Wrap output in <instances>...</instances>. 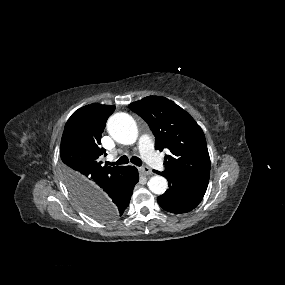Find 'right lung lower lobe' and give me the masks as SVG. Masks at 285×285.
<instances>
[{"mask_svg": "<svg viewBox=\"0 0 285 285\" xmlns=\"http://www.w3.org/2000/svg\"><path fill=\"white\" fill-rule=\"evenodd\" d=\"M138 180V170L133 166H127L121 177L104 186L103 191L93 195L88 202L94 206H108L117 216H121L129 205Z\"/></svg>", "mask_w": 285, "mask_h": 285, "instance_id": "obj_1", "label": "right lung lower lobe"}]
</instances>
